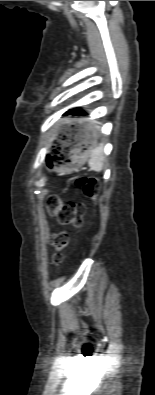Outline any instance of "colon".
I'll use <instances>...</instances> for the list:
<instances>
[{
    "label": "colon",
    "instance_id": "1",
    "mask_svg": "<svg viewBox=\"0 0 155 395\" xmlns=\"http://www.w3.org/2000/svg\"><path fill=\"white\" fill-rule=\"evenodd\" d=\"M77 185L83 188L84 193L88 197H94L98 184L94 178H80ZM46 209L51 216H54L58 223L63 226L78 227L82 224L84 206L75 202H63L57 195H49L46 200ZM54 248L53 261L59 263L61 261V251L69 244V235L65 231L52 234L50 238Z\"/></svg>",
    "mask_w": 155,
    "mask_h": 395
}]
</instances>
